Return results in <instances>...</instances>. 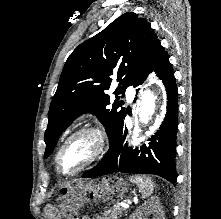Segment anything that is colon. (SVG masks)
I'll return each instance as SVG.
<instances>
[{"label": "colon", "mask_w": 221, "mask_h": 219, "mask_svg": "<svg viewBox=\"0 0 221 219\" xmlns=\"http://www.w3.org/2000/svg\"><path fill=\"white\" fill-rule=\"evenodd\" d=\"M77 204H74L70 199H64L62 201V210L69 215L70 219H76L74 215V211L76 209Z\"/></svg>", "instance_id": "5ec220e1"}]
</instances>
